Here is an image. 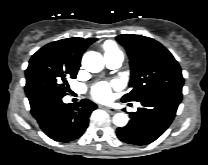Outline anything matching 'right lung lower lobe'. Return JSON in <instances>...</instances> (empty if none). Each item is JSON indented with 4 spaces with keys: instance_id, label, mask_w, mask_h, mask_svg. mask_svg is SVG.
Segmentation results:
<instances>
[{
    "instance_id": "98d812e1",
    "label": "right lung lower lobe",
    "mask_w": 208,
    "mask_h": 165,
    "mask_svg": "<svg viewBox=\"0 0 208 165\" xmlns=\"http://www.w3.org/2000/svg\"><path fill=\"white\" fill-rule=\"evenodd\" d=\"M62 98L44 99L31 106V113L47 136L55 141L69 142L85 132L89 116L97 106L88 99L77 105L65 104Z\"/></svg>"
}]
</instances>
